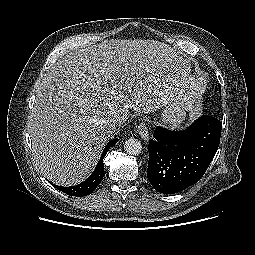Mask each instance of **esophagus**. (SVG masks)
I'll use <instances>...</instances> for the list:
<instances>
[{
    "label": "esophagus",
    "mask_w": 255,
    "mask_h": 255,
    "mask_svg": "<svg viewBox=\"0 0 255 255\" xmlns=\"http://www.w3.org/2000/svg\"><path fill=\"white\" fill-rule=\"evenodd\" d=\"M137 131L143 140L149 139V132L145 122L142 121L141 123H139Z\"/></svg>",
    "instance_id": "34e87169"
}]
</instances>
